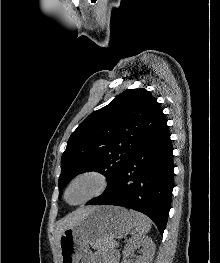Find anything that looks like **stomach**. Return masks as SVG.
Wrapping results in <instances>:
<instances>
[{
  "mask_svg": "<svg viewBox=\"0 0 220 263\" xmlns=\"http://www.w3.org/2000/svg\"><path fill=\"white\" fill-rule=\"evenodd\" d=\"M133 225L131 214L123 207H96L61 234L60 263H79L90 245L97 249L111 248L112 241L126 236Z\"/></svg>",
  "mask_w": 220,
  "mask_h": 263,
  "instance_id": "0dacf381",
  "label": "stomach"
}]
</instances>
